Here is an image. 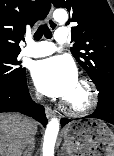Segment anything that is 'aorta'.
Wrapping results in <instances>:
<instances>
[{
    "instance_id": "1",
    "label": "aorta",
    "mask_w": 114,
    "mask_h": 156,
    "mask_svg": "<svg viewBox=\"0 0 114 156\" xmlns=\"http://www.w3.org/2000/svg\"><path fill=\"white\" fill-rule=\"evenodd\" d=\"M53 17L56 21L64 23L68 19L67 11L64 9H56ZM59 132V120L52 118L46 128L43 142V156H54V147Z\"/></svg>"
}]
</instances>
